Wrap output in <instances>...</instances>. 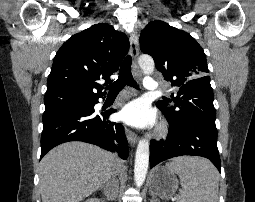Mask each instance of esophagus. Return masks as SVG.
Masks as SVG:
<instances>
[{
  "mask_svg": "<svg viewBox=\"0 0 255 202\" xmlns=\"http://www.w3.org/2000/svg\"><path fill=\"white\" fill-rule=\"evenodd\" d=\"M130 54L133 59V65L136 67V60L139 54V47H138V34L137 32H133L130 36ZM125 133L129 143L133 146L137 143V135L132 132L130 129L125 128Z\"/></svg>",
  "mask_w": 255,
  "mask_h": 202,
  "instance_id": "obj_1",
  "label": "esophagus"
}]
</instances>
